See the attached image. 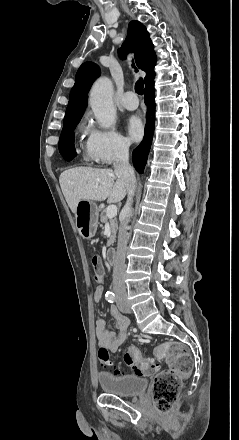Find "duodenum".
I'll list each match as a JSON object with an SVG mask.
<instances>
[{"instance_id":"1","label":"duodenum","mask_w":239,"mask_h":440,"mask_svg":"<svg viewBox=\"0 0 239 440\" xmlns=\"http://www.w3.org/2000/svg\"><path fill=\"white\" fill-rule=\"evenodd\" d=\"M115 256H116V253H115L114 249H108L107 250V252H106V259H107V262L109 264H114Z\"/></svg>"}]
</instances>
